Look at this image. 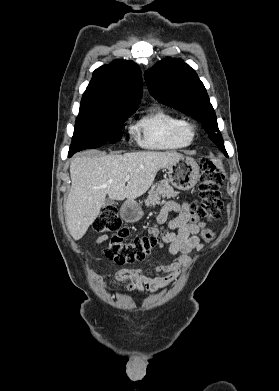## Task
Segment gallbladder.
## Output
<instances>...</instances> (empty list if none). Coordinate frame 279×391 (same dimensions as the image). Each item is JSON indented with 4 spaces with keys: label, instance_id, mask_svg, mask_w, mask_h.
I'll use <instances>...</instances> for the list:
<instances>
[{
    "label": "gallbladder",
    "instance_id": "bac80fb5",
    "mask_svg": "<svg viewBox=\"0 0 279 391\" xmlns=\"http://www.w3.org/2000/svg\"><path fill=\"white\" fill-rule=\"evenodd\" d=\"M114 203H115L114 200L108 198V199L105 200V202L103 204V207L110 206V205H112Z\"/></svg>",
    "mask_w": 279,
    "mask_h": 391
}]
</instances>
